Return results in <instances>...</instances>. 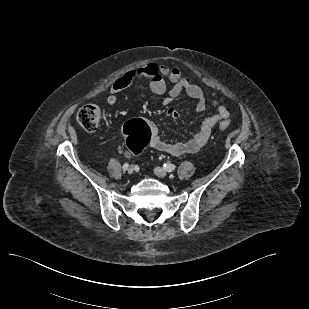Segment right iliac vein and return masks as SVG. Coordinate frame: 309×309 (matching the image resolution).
<instances>
[{
    "instance_id": "right-iliac-vein-1",
    "label": "right iliac vein",
    "mask_w": 309,
    "mask_h": 309,
    "mask_svg": "<svg viewBox=\"0 0 309 309\" xmlns=\"http://www.w3.org/2000/svg\"><path fill=\"white\" fill-rule=\"evenodd\" d=\"M128 174H132L134 172V167L130 166L127 170Z\"/></svg>"
}]
</instances>
